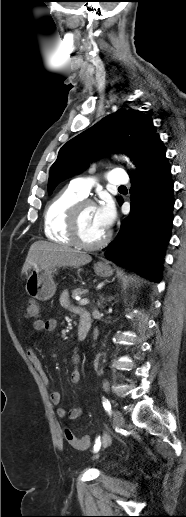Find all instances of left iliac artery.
Returning <instances> with one entry per match:
<instances>
[{"label":"left iliac artery","instance_id":"44dca946","mask_svg":"<svg viewBox=\"0 0 186 517\" xmlns=\"http://www.w3.org/2000/svg\"><path fill=\"white\" fill-rule=\"evenodd\" d=\"M103 407L106 410V412L110 413V411H111V404H110V402L106 398H103ZM100 447H101V440H100V437H98L95 440L93 451L94 452H98Z\"/></svg>","mask_w":186,"mask_h":517}]
</instances>
